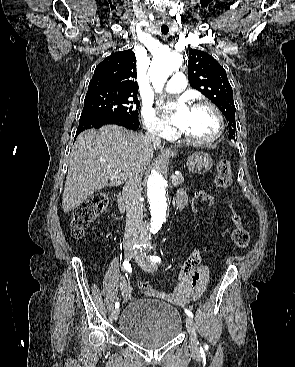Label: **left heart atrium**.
Here are the masks:
<instances>
[{"mask_svg": "<svg viewBox=\"0 0 295 367\" xmlns=\"http://www.w3.org/2000/svg\"><path fill=\"white\" fill-rule=\"evenodd\" d=\"M189 111L190 108L185 98H181L164 108L169 123L180 129L184 127Z\"/></svg>", "mask_w": 295, "mask_h": 367, "instance_id": "left-heart-atrium-1", "label": "left heart atrium"}]
</instances>
